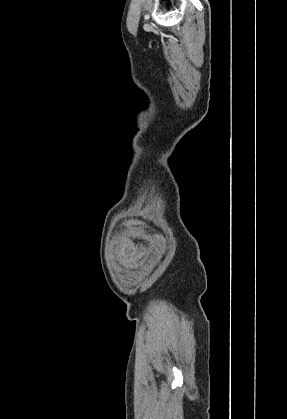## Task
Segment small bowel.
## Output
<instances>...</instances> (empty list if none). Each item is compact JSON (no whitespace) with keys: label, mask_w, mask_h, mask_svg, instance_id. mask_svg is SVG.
I'll return each mask as SVG.
<instances>
[{"label":"small bowel","mask_w":287,"mask_h":419,"mask_svg":"<svg viewBox=\"0 0 287 419\" xmlns=\"http://www.w3.org/2000/svg\"><path fill=\"white\" fill-rule=\"evenodd\" d=\"M117 256L128 269H132L137 263V258L134 256L132 249L127 246H120L117 250Z\"/></svg>","instance_id":"c3829d8e"}]
</instances>
